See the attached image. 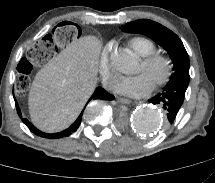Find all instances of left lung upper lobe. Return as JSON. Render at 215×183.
Masks as SVG:
<instances>
[{"label":"left lung upper lobe","instance_id":"5c2ea615","mask_svg":"<svg viewBox=\"0 0 215 183\" xmlns=\"http://www.w3.org/2000/svg\"><path fill=\"white\" fill-rule=\"evenodd\" d=\"M122 31L140 33L153 39L169 54L172 62V74L169 81H181L189 84V57L179 37L171 30L151 20H137L121 26Z\"/></svg>","mask_w":215,"mask_h":183}]
</instances>
